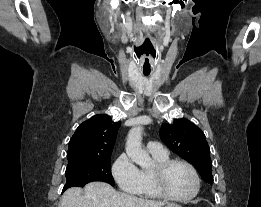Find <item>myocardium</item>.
I'll list each match as a JSON object with an SVG mask.
<instances>
[{"instance_id": "1", "label": "myocardium", "mask_w": 261, "mask_h": 207, "mask_svg": "<svg viewBox=\"0 0 261 207\" xmlns=\"http://www.w3.org/2000/svg\"><path fill=\"white\" fill-rule=\"evenodd\" d=\"M176 164H180L188 168L194 179V191L186 197H176L172 195L167 190L165 185L166 173L173 165ZM152 179H153L154 186L161 197L170 201L180 202V203H185L193 200L199 194L200 187H201L200 177L195 167L188 161L182 159H168L164 162L155 165V167L152 169Z\"/></svg>"}]
</instances>
